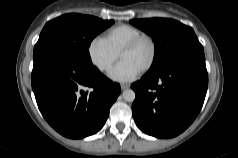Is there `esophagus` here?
Listing matches in <instances>:
<instances>
[{
    "instance_id": "1",
    "label": "esophagus",
    "mask_w": 238,
    "mask_h": 158,
    "mask_svg": "<svg viewBox=\"0 0 238 158\" xmlns=\"http://www.w3.org/2000/svg\"><path fill=\"white\" fill-rule=\"evenodd\" d=\"M128 88H129L128 84H121V89L122 90H125V89H128Z\"/></svg>"
}]
</instances>
